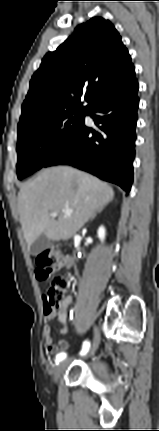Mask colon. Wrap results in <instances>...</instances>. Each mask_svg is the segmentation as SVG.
Returning <instances> with one entry per match:
<instances>
[{
    "label": "colon",
    "instance_id": "colon-1",
    "mask_svg": "<svg viewBox=\"0 0 159 431\" xmlns=\"http://www.w3.org/2000/svg\"><path fill=\"white\" fill-rule=\"evenodd\" d=\"M60 258V253L55 248H46L35 255L37 277L50 278L49 287L43 295L44 309L47 314H53L60 307L69 285L68 277L65 275L51 277L60 263Z\"/></svg>",
    "mask_w": 159,
    "mask_h": 431
}]
</instances>
